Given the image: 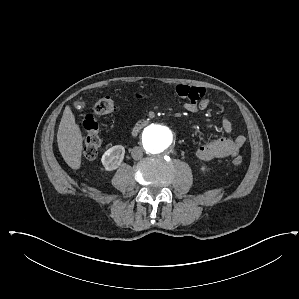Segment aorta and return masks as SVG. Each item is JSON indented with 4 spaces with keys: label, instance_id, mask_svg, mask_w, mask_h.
<instances>
[{
    "label": "aorta",
    "instance_id": "1",
    "mask_svg": "<svg viewBox=\"0 0 299 299\" xmlns=\"http://www.w3.org/2000/svg\"><path fill=\"white\" fill-rule=\"evenodd\" d=\"M173 142L171 130L159 124H152L145 128L142 134V145L150 156H157L170 148Z\"/></svg>",
    "mask_w": 299,
    "mask_h": 299
}]
</instances>
